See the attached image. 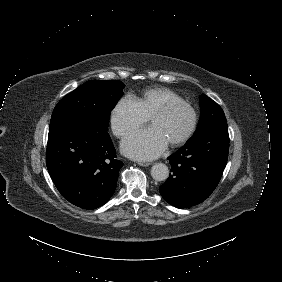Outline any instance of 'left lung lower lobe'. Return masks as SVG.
<instances>
[{
  "instance_id": "obj_1",
  "label": "left lung lower lobe",
  "mask_w": 282,
  "mask_h": 282,
  "mask_svg": "<svg viewBox=\"0 0 282 282\" xmlns=\"http://www.w3.org/2000/svg\"><path fill=\"white\" fill-rule=\"evenodd\" d=\"M228 150L227 124H217L194 134L185 146L168 158L172 174L160 186L161 196L177 208L203 202L221 179Z\"/></svg>"
}]
</instances>
